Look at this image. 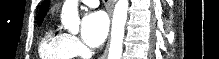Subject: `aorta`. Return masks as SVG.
Returning <instances> with one entry per match:
<instances>
[{"label": "aorta", "instance_id": "aorta-1", "mask_svg": "<svg viewBox=\"0 0 219 59\" xmlns=\"http://www.w3.org/2000/svg\"><path fill=\"white\" fill-rule=\"evenodd\" d=\"M128 7V0H118L115 5L108 59H121ZM61 22L69 32L77 33L79 31L78 0H65L62 7Z\"/></svg>", "mask_w": 219, "mask_h": 59}]
</instances>
